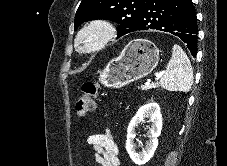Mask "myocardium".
<instances>
[{"mask_svg":"<svg viewBox=\"0 0 227 166\" xmlns=\"http://www.w3.org/2000/svg\"><path fill=\"white\" fill-rule=\"evenodd\" d=\"M116 33V28L109 20L92 19L78 30L74 46L82 53H96L107 46L115 38ZM89 36H93V39L86 42L85 39Z\"/></svg>","mask_w":227,"mask_h":166,"instance_id":"myocardium-1","label":"myocardium"}]
</instances>
